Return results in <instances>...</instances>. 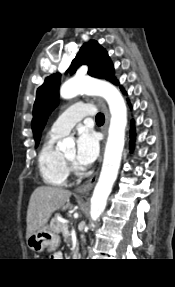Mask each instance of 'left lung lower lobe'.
Masks as SVG:
<instances>
[{
  "instance_id": "left-lung-lower-lobe-1",
  "label": "left lung lower lobe",
  "mask_w": 175,
  "mask_h": 287,
  "mask_svg": "<svg viewBox=\"0 0 175 287\" xmlns=\"http://www.w3.org/2000/svg\"><path fill=\"white\" fill-rule=\"evenodd\" d=\"M121 90L126 94L125 90L123 88H121ZM131 141H130V148L131 150L133 149V146H134V140H135V130H134V125L132 124L131 125Z\"/></svg>"
}]
</instances>
